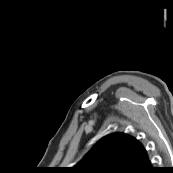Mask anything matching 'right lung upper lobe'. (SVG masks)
Masks as SVG:
<instances>
[{"label":"right lung upper lobe","instance_id":"right-lung-upper-lobe-1","mask_svg":"<svg viewBox=\"0 0 173 173\" xmlns=\"http://www.w3.org/2000/svg\"><path fill=\"white\" fill-rule=\"evenodd\" d=\"M147 158L142 144L124 133H114L99 140L71 173H126Z\"/></svg>","mask_w":173,"mask_h":173}]
</instances>
